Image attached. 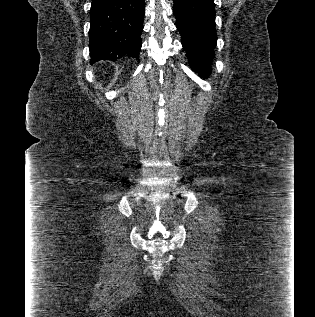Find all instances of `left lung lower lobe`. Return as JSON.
<instances>
[{
    "mask_svg": "<svg viewBox=\"0 0 315 317\" xmlns=\"http://www.w3.org/2000/svg\"><path fill=\"white\" fill-rule=\"evenodd\" d=\"M173 12L191 67L208 77L217 42L214 0H174Z\"/></svg>",
    "mask_w": 315,
    "mask_h": 317,
    "instance_id": "0a47b994",
    "label": "left lung lower lobe"
}]
</instances>
